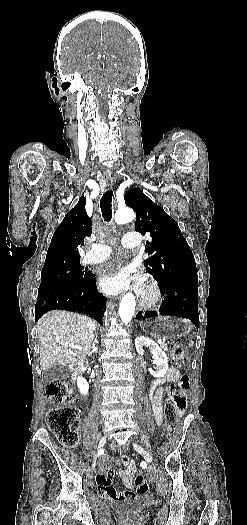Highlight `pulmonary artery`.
<instances>
[{"instance_id": "e3ab8cb5", "label": "pulmonary artery", "mask_w": 247, "mask_h": 525, "mask_svg": "<svg viewBox=\"0 0 247 525\" xmlns=\"http://www.w3.org/2000/svg\"><path fill=\"white\" fill-rule=\"evenodd\" d=\"M121 244L125 248H138L143 244V238L142 236H133V231H130L127 232V236H122ZM109 254H114V251H109L105 245L100 244L96 248H89L87 254L82 258V261L102 263L104 257L109 256Z\"/></svg>"}]
</instances>
